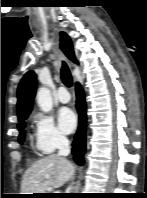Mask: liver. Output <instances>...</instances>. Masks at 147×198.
Returning <instances> with one entry per match:
<instances>
[{
    "instance_id": "obj_1",
    "label": "liver",
    "mask_w": 147,
    "mask_h": 198,
    "mask_svg": "<svg viewBox=\"0 0 147 198\" xmlns=\"http://www.w3.org/2000/svg\"><path fill=\"white\" fill-rule=\"evenodd\" d=\"M75 173V166L62 156L48 155L28 168L21 182V194L46 193L49 188H58Z\"/></svg>"
}]
</instances>
